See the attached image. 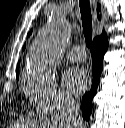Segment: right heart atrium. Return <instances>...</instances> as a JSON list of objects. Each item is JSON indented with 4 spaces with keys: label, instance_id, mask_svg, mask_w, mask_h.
Listing matches in <instances>:
<instances>
[{
    "label": "right heart atrium",
    "instance_id": "right-heart-atrium-1",
    "mask_svg": "<svg viewBox=\"0 0 125 128\" xmlns=\"http://www.w3.org/2000/svg\"><path fill=\"white\" fill-rule=\"evenodd\" d=\"M24 88L34 108L46 114H54L73 105L72 98L60 89L53 78L30 74Z\"/></svg>",
    "mask_w": 125,
    "mask_h": 128
}]
</instances>
